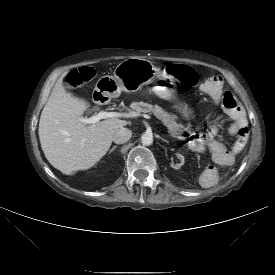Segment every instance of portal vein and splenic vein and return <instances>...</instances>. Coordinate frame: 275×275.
Segmentation results:
<instances>
[{
	"mask_svg": "<svg viewBox=\"0 0 275 275\" xmlns=\"http://www.w3.org/2000/svg\"><path fill=\"white\" fill-rule=\"evenodd\" d=\"M137 116L136 113H122V112H107V111H100L98 114L93 115L90 118H81V122L84 124H91L94 125L95 123L99 122L101 119L106 118H131ZM149 117V116H148Z\"/></svg>",
	"mask_w": 275,
	"mask_h": 275,
	"instance_id": "obj_1",
	"label": "portal vein and splenic vein"
}]
</instances>
